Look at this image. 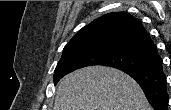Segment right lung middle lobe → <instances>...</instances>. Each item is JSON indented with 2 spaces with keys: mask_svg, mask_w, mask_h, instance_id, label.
I'll use <instances>...</instances> for the list:
<instances>
[{
  "mask_svg": "<svg viewBox=\"0 0 171 110\" xmlns=\"http://www.w3.org/2000/svg\"><path fill=\"white\" fill-rule=\"evenodd\" d=\"M158 58L125 46L92 42L65 48L54 72V84L66 74L86 66L104 65L120 70L144 69Z\"/></svg>",
  "mask_w": 171,
  "mask_h": 110,
  "instance_id": "1",
  "label": "right lung middle lobe"
}]
</instances>
